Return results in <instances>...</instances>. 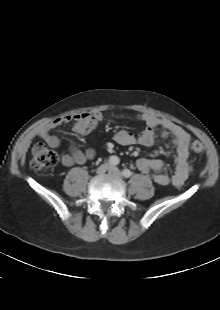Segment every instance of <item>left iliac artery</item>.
Wrapping results in <instances>:
<instances>
[{"label": "left iliac artery", "instance_id": "obj_1", "mask_svg": "<svg viewBox=\"0 0 220 310\" xmlns=\"http://www.w3.org/2000/svg\"><path fill=\"white\" fill-rule=\"evenodd\" d=\"M122 175L125 177V178H129L131 175H132V172L129 170V169H124L122 171Z\"/></svg>", "mask_w": 220, "mask_h": 310}]
</instances>
